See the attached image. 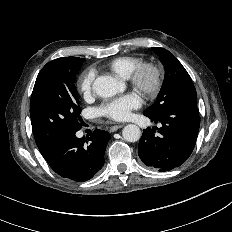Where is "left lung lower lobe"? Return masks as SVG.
Wrapping results in <instances>:
<instances>
[{
    "mask_svg": "<svg viewBox=\"0 0 232 232\" xmlns=\"http://www.w3.org/2000/svg\"><path fill=\"white\" fill-rule=\"evenodd\" d=\"M144 115L162 127L143 130L138 146L143 163L161 172L181 166L196 143L200 125L197 106L180 103L158 115Z\"/></svg>",
    "mask_w": 232,
    "mask_h": 232,
    "instance_id": "obj_1",
    "label": "left lung lower lobe"
}]
</instances>
